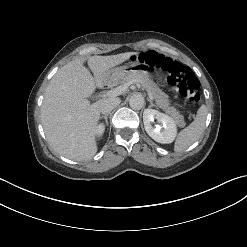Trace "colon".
<instances>
[{
    "label": "colon",
    "mask_w": 247,
    "mask_h": 247,
    "mask_svg": "<svg viewBox=\"0 0 247 247\" xmlns=\"http://www.w3.org/2000/svg\"><path fill=\"white\" fill-rule=\"evenodd\" d=\"M138 60L143 64L156 67L164 72L167 76V81L171 85L176 86L181 95L190 103L193 105L199 103L200 83L189 67L183 66L179 62L154 51L139 55Z\"/></svg>",
    "instance_id": "1"
}]
</instances>
